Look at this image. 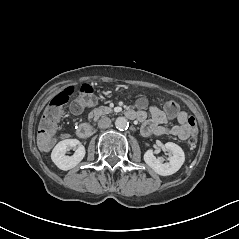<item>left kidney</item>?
I'll list each match as a JSON object with an SVG mask.
<instances>
[{
  "label": "left kidney",
  "mask_w": 239,
  "mask_h": 239,
  "mask_svg": "<svg viewBox=\"0 0 239 239\" xmlns=\"http://www.w3.org/2000/svg\"><path fill=\"white\" fill-rule=\"evenodd\" d=\"M164 146L172 153L169 162L163 163L162 158H156L151 149L145 152L144 161L157 174L167 176L176 173L181 168L185 161V154L182 148L173 142H167Z\"/></svg>",
  "instance_id": "5707ae66"
}]
</instances>
